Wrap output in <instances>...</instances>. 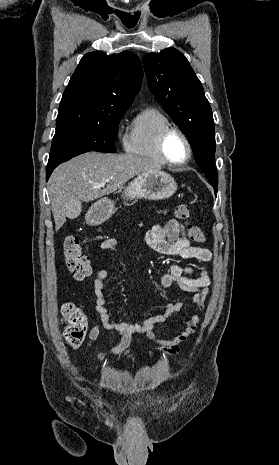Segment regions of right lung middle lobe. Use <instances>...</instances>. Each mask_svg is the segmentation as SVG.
I'll use <instances>...</instances> for the list:
<instances>
[{"label": "right lung middle lobe", "instance_id": "dd1d6c3e", "mask_svg": "<svg viewBox=\"0 0 279 465\" xmlns=\"http://www.w3.org/2000/svg\"><path fill=\"white\" fill-rule=\"evenodd\" d=\"M127 109H116L101 121L75 122L57 126L47 166H58L88 151L115 153L118 125Z\"/></svg>", "mask_w": 279, "mask_h": 465}]
</instances>
